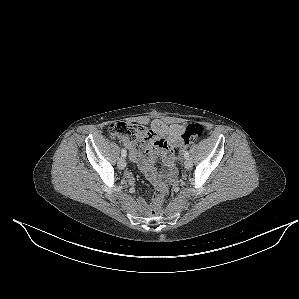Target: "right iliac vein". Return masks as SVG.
<instances>
[{"label": "right iliac vein", "mask_w": 299, "mask_h": 299, "mask_svg": "<svg viewBox=\"0 0 299 299\" xmlns=\"http://www.w3.org/2000/svg\"><path fill=\"white\" fill-rule=\"evenodd\" d=\"M117 166L119 169L123 170L126 166V160L124 157H121L119 160H118V163H117Z\"/></svg>", "instance_id": "right-iliac-vein-1"}]
</instances>
